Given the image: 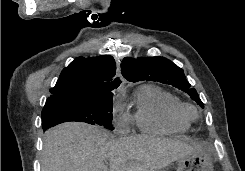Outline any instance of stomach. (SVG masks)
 <instances>
[{
  "label": "stomach",
  "instance_id": "1",
  "mask_svg": "<svg viewBox=\"0 0 245 171\" xmlns=\"http://www.w3.org/2000/svg\"><path fill=\"white\" fill-rule=\"evenodd\" d=\"M177 171H213V160L209 152L196 150L178 160Z\"/></svg>",
  "mask_w": 245,
  "mask_h": 171
}]
</instances>
